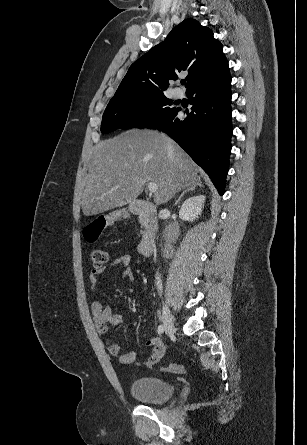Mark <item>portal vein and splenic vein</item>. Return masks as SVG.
<instances>
[{
    "mask_svg": "<svg viewBox=\"0 0 307 445\" xmlns=\"http://www.w3.org/2000/svg\"><path fill=\"white\" fill-rule=\"evenodd\" d=\"M156 188V182H148V190H150V192H156Z\"/></svg>",
    "mask_w": 307,
    "mask_h": 445,
    "instance_id": "1",
    "label": "portal vein and splenic vein"
}]
</instances>
